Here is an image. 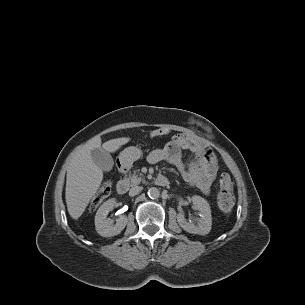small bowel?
<instances>
[{
	"mask_svg": "<svg viewBox=\"0 0 305 305\" xmlns=\"http://www.w3.org/2000/svg\"><path fill=\"white\" fill-rule=\"evenodd\" d=\"M189 149L193 157L185 163L182 150ZM148 161L152 164L167 162L177 168L183 179L209 194L218 170V161L213 150L200 138L187 133L174 134L161 148L153 150Z\"/></svg>",
	"mask_w": 305,
	"mask_h": 305,
	"instance_id": "1",
	"label": "small bowel"
}]
</instances>
